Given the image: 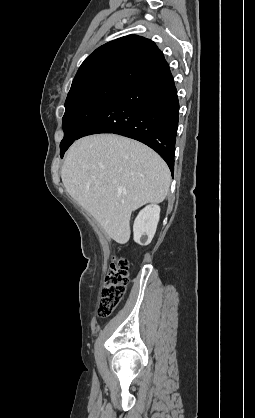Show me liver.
Masks as SVG:
<instances>
[{"mask_svg": "<svg viewBox=\"0 0 255 418\" xmlns=\"http://www.w3.org/2000/svg\"><path fill=\"white\" fill-rule=\"evenodd\" d=\"M70 196L119 244L130 239L131 213L167 196V164L146 145L115 134L77 140L61 169Z\"/></svg>", "mask_w": 255, "mask_h": 418, "instance_id": "liver-1", "label": "liver"}]
</instances>
